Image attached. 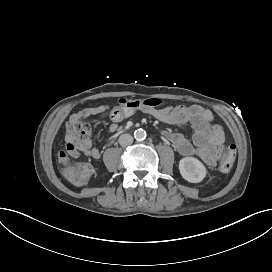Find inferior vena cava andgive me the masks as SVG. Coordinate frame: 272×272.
<instances>
[{
	"label": "inferior vena cava",
	"mask_w": 272,
	"mask_h": 272,
	"mask_svg": "<svg viewBox=\"0 0 272 272\" xmlns=\"http://www.w3.org/2000/svg\"><path fill=\"white\" fill-rule=\"evenodd\" d=\"M133 143L132 135L125 133L119 137V144L123 147L129 146Z\"/></svg>",
	"instance_id": "obj_1"
}]
</instances>
